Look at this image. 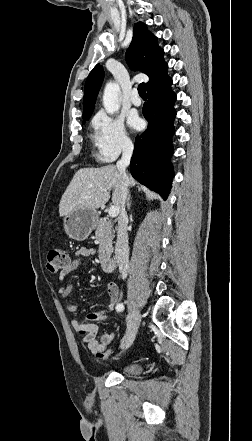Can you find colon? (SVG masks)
Wrapping results in <instances>:
<instances>
[{"label":"colon","mask_w":252,"mask_h":441,"mask_svg":"<svg viewBox=\"0 0 252 441\" xmlns=\"http://www.w3.org/2000/svg\"><path fill=\"white\" fill-rule=\"evenodd\" d=\"M69 264V258L64 251L58 248H52L47 254V270L50 273H57L63 270ZM110 310H99L91 312L87 315L84 322L78 324V329L81 333L87 334L91 326L96 322L104 321L107 319ZM99 358L105 359L109 357V352L104 351L98 354Z\"/></svg>","instance_id":"colon-1"}]
</instances>
